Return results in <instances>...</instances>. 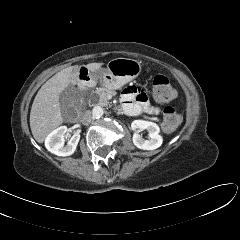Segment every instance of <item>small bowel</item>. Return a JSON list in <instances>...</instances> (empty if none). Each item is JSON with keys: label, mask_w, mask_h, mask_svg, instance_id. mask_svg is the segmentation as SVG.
<instances>
[{"label": "small bowel", "mask_w": 240, "mask_h": 240, "mask_svg": "<svg viewBox=\"0 0 240 240\" xmlns=\"http://www.w3.org/2000/svg\"><path fill=\"white\" fill-rule=\"evenodd\" d=\"M120 102L122 110L130 116H136L141 113L150 115L160 113V108L151 105L145 92L135 85H130L124 89Z\"/></svg>", "instance_id": "obj_1"}]
</instances>
